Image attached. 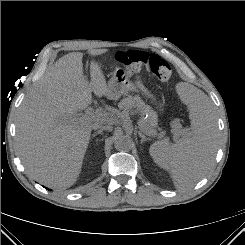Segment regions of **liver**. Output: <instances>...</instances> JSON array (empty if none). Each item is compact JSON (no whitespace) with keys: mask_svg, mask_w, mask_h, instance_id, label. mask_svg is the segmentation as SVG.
<instances>
[{"mask_svg":"<svg viewBox=\"0 0 245 245\" xmlns=\"http://www.w3.org/2000/svg\"><path fill=\"white\" fill-rule=\"evenodd\" d=\"M107 49H92L91 56ZM83 53L73 52L50 66L24 98L16 121V146L27 173L39 183L66 189L77 180L93 125L78 112L110 91L98 63L91 61V82L83 74Z\"/></svg>","mask_w":245,"mask_h":245,"instance_id":"6515ba94","label":"liver"}]
</instances>
